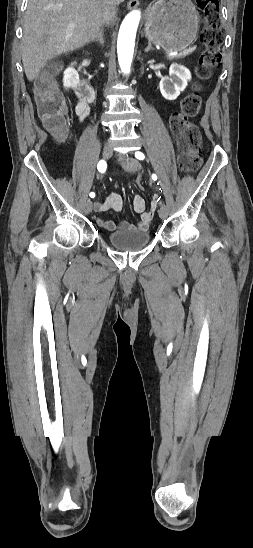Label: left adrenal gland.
<instances>
[{"label": "left adrenal gland", "mask_w": 253, "mask_h": 548, "mask_svg": "<svg viewBox=\"0 0 253 548\" xmlns=\"http://www.w3.org/2000/svg\"><path fill=\"white\" fill-rule=\"evenodd\" d=\"M150 50H154V48L151 45V42L148 43L147 48L145 49V52H149Z\"/></svg>", "instance_id": "1"}]
</instances>
